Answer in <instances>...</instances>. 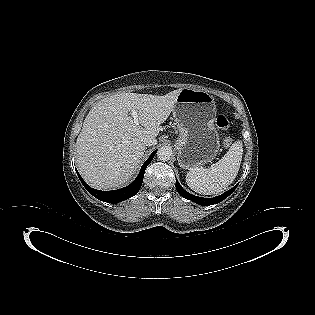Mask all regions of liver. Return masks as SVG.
I'll return each mask as SVG.
<instances>
[{
    "label": "liver",
    "mask_w": 315,
    "mask_h": 315,
    "mask_svg": "<svg viewBox=\"0 0 315 315\" xmlns=\"http://www.w3.org/2000/svg\"><path fill=\"white\" fill-rule=\"evenodd\" d=\"M181 90L163 96L119 93L97 102L86 116L76 142L77 167L84 180L103 190L130 180L145 152L142 140L157 137L160 124L174 110ZM132 110L138 113V125L129 113Z\"/></svg>",
    "instance_id": "obj_1"
}]
</instances>
